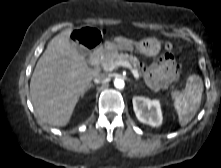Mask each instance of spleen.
Listing matches in <instances>:
<instances>
[{
  "label": "spleen",
  "instance_id": "spleen-1",
  "mask_svg": "<svg viewBox=\"0 0 221 168\" xmlns=\"http://www.w3.org/2000/svg\"><path fill=\"white\" fill-rule=\"evenodd\" d=\"M203 92V81L199 75L188 77L185 90L174 100L179 124L187 125L199 109Z\"/></svg>",
  "mask_w": 221,
  "mask_h": 168
}]
</instances>
